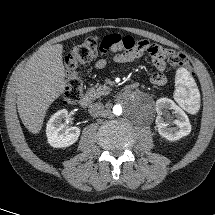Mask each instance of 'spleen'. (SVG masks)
Instances as JSON below:
<instances>
[{
    "instance_id": "obj_1",
    "label": "spleen",
    "mask_w": 215,
    "mask_h": 215,
    "mask_svg": "<svg viewBox=\"0 0 215 215\" xmlns=\"http://www.w3.org/2000/svg\"><path fill=\"white\" fill-rule=\"evenodd\" d=\"M175 100L188 112H195L198 109L199 92L196 84L189 73L180 68L177 71Z\"/></svg>"
}]
</instances>
